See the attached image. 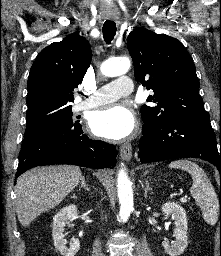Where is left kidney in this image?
Returning <instances> with one entry per match:
<instances>
[{"label": "left kidney", "instance_id": "obj_1", "mask_svg": "<svg viewBox=\"0 0 221 256\" xmlns=\"http://www.w3.org/2000/svg\"><path fill=\"white\" fill-rule=\"evenodd\" d=\"M162 211L167 215H171L175 224L174 237L175 242L169 244L166 241L162 245L167 254L170 256H178L182 254L188 245L187 240V216L185 210L175 202H167L162 206Z\"/></svg>", "mask_w": 221, "mask_h": 256}]
</instances>
